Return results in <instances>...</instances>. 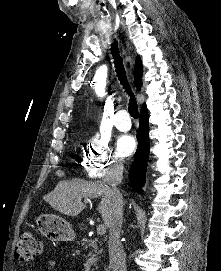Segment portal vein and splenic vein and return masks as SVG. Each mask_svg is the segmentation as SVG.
I'll list each match as a JSON object with an SVG mask.
<instances>
[{"mask_svg": "<svg viewBox=\"0 0 221 271\" xmlns=\"http://www.w3.org/2000/svg\"><path fill=\"white\" fill-rule=\"evenodd\" d=\"M85 201H87V199H85ZM104 229H105L104 225H98L97 227V231L99 234H104L105 233Z\"/></svg>", "mask_w": 221, "mask_h": 271, "instance_id": "1", "label": "portal vein and splenic vein"}]
</instances>
